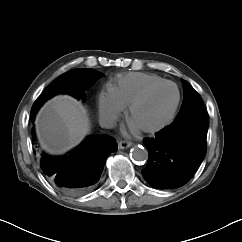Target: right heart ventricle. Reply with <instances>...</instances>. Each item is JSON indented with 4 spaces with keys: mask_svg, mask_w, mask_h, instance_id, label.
<instances>
[{
    "mask_svg": "<svg viewBox=\"0 0 242 242\" xmlns=\"http://www.w3.org/2000/svg\"><path fill=\"white\" fill-rule=\"evenodd\" d=\"M164 81L156 74L133 72L118 76L111 84L110 90L125 107L149 86Z\"/></svg>",
    "mask_w": 242,
    "mask_h": 242,
    "instance_id": "right-heart-ventricle-1",
    "label": "right heart ventricle"
}]
</instances>
